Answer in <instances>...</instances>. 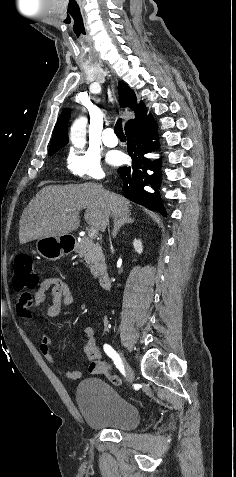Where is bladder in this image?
<instances>
[{"label":"bladder","instance_id":"31cf9c89","mask_svg":"<svg viewBox=\"0 0 236 477\" xmlns=\"http://www.w3.org/2000/svg\"><path fill=\"white\" fill-rule=\"evenodd\" d=\"M76 402L83 419L92 427L132 431L140 425L138 406L101 378L82 380L76 390Z\"/></svg>","mask_w":236,"mask_h":477}]
</instances>
